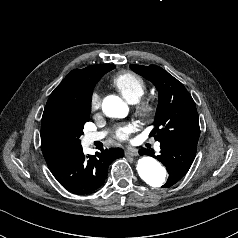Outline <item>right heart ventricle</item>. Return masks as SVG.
I'll return each mask as SVG.
<instances>
[{"label":"right heart ventricle","instance_id":"1","mask_svg":"<svg viewBox=\"0 0 238 238\" xmlns=\"http://www.w3.org/2000/svg\"><path fill=\"white\" fill-rule=\"evenodd\" d=\"M112 85L120 92L124 99L134 103L146 91L145 81L138 75L131 72H120L111 79Z\"/></svg>","mask_w":238,"mask_h":238}]
</instances>
